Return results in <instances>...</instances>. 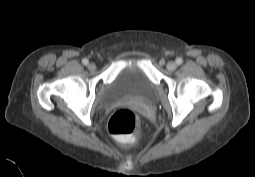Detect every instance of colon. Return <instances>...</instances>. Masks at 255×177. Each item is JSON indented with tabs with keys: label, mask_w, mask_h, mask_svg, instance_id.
<instances>
[{
	"label": "colon",
	"mask_w": 255,
	"mask_h": 177,
	"mask_svg": "<svg viewBox=\"0 0 255 177\" xmlns=\"http://www.w3.org/2000/svg\"><path fill=\"white\" fill-rule=\"evenodd\" d=\"M140 128L138 115L130 109H119L108 122L109 132L118 140L123 142L131 141Z\"/></svg>",
	"instance_id": "1"
}]
</instances>
